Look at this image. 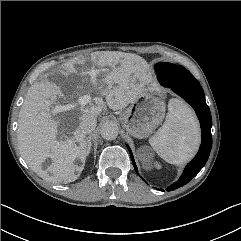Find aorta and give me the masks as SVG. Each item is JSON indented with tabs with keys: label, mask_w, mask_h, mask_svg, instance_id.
I'll use <instances>...</instances> for the list:
<instances>
[{
	"label": "aorta",
	"mask_w": 241,
	"mask_h": 241,
	"mask_svg": "<svg viewBox=\"0 0 241 241\" xmlns=\"http://www.w3.org/2000/svg\"><path fill=\"white\" fill-rule=\"evenodd\" d=\"M119 127L113 121H106L101 126V136L106 140H114L118 136Z\"/></svg>",
	"instance_id": "762f6f07"
}]
</instances>
